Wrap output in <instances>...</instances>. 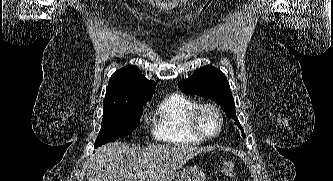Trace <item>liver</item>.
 <instances>
[{
  "label": "liver",
  "mask_w": 333,
  "mask_h": 181,
  "mask_svg": "<svg viewBox=\"0 0 333 181\" xmlns=\"http://www.w3.org/2000/svg\"><path fill=\"white\" fill-rule=\"evenodd\" d=\"M205 151L192 145L108 143L89 159L87 181H172L180 168Z\"/></svg>",
  "instance_id": "1"
}]
</instances>
